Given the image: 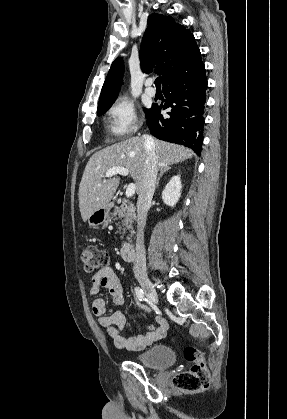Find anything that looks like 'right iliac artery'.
I'll list each match as a JSON object with an SVG mask.
<instances>
[{"instance_id":"obj_1","label":"right iliac artery","mask_w":287,"mask_h":419,"mask_svg":"<svg viewBox=\"0 0 287 419\" xmlns=\"http://www.w3.org/2000/svg\"><path fill=\"white\" fill-rule=\"evenodd\" d=\"M135 294H136L137 298L140 301H144L145 300V294H144V292H143V290L141 288L136 287L135 288Z\"/></svg>"}]
</instances>
